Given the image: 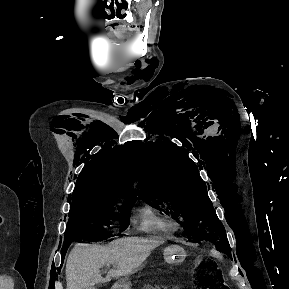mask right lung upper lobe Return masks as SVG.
Listing matches in <instances>:
<instances>
[{
	"label": "right lung upper lobe",
	"instance_id": "cb5924a9",
	"mask_svg": "<svg viewBox=\"0 0 289 289\" xmlns=\"http://www.w3.org/2000/svg\"><path fill=\"white\" fill-rule=\"evenodd\" d=\"M130 156L120 147L100 151L79 174L73 199L116 197L135 199Z\"/></svg>",
	"mask_w": 289,
	"mask_h": 289
}]
</instances>
